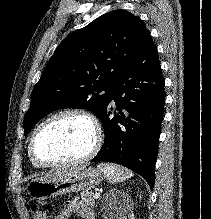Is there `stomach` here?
<instances>
[{"label":"stomach","instance_id":"1","mask_svg":"<svg viewBox=\"0 0 211 219\" xmlns=\"http://www.w3.org/2000/svg\"><path fill=\"white\" fill-rule=\"evenodd\" d=\"M103 174L100 170L75 168L68 170L65 176L50 180H34L28 185V194L37 199H48L70 192H86L101 184Z\"/></svg>","mask_w":211,"mask_h":219}]
</instances>
